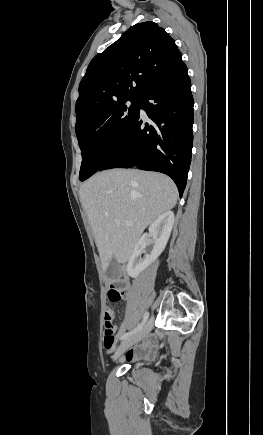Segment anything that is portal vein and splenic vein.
<instances>
[{"mask_svg": "<svg viewBox=\"0 0 263 435\" xmlns=\"http://www.w3.org/2000/svg\"><path fill=\"white\" fill-rule=\"evenodd\" d=\"M114 222H115V224H119V223H120V220H119V219H115ZM126 225H128V226H132L133 223H131V222H126Z\"/></svg>", "mask_w": 263, "mask_h": 435, "instance_id": "18ae733b", "label": "portal vein and splenic vein"}]
</instances>
